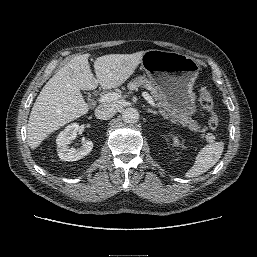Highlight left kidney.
Listing matches in <instances>:
<instances>
[{
    "mask_svg": "<svg viewBox=\"0 0 257 257\" xmlns=\"http://www.w3.org/2000/svg\"><path fill=\"white\" fill-rule=\"evenodd\" d=\"M174 144H175V145H179L178 139H174Z\"/></svg>",
    "mask_w": 257,
    "mask_h": 257,
    "instance_id": "obj_1",
    "label": "left kidney"
}]
</instances>
